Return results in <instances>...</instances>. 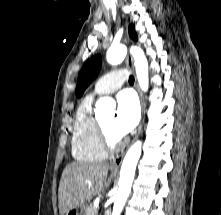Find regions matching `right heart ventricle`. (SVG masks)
Returning <instances> with one entry per match:
<instances>
[{
    "label": "right heart ventricle",
    "mask_w": 221,
    "mask_h": 215,
    "mask_svg": "<svg viewBox=\"0 0 221 215\" xmlns=\"http://www.w3.org/2000/svg\"><path fill=\"white\" fill-rule=\"evenodd\" d=\"M93 99V95L86 96L75 114L71 152L74 159L80 162L100 161L107 155L99 139L97 119L92 109Z\"/></svg>",
    "instance_id": "right-heart-ventricle-1"
}]
</instances>
